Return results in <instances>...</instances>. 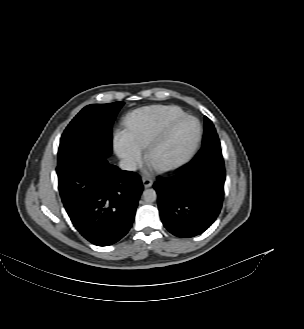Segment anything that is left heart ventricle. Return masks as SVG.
Instances as JSON below:
<instances>
[{
  "instance_id": "left-heart-ventricle-1",
  "label": "left heart ventricle",
  "mask_w": 304,
  "mask_h": 329,
  "mask_svg": "<svg viewBox=\"0 0 304 329\" xmlns=\"http://www.w3.org/2000/svg\"><path fill=\"white\" fill-rule=\"evenodd\" d=\"M197 123L192 119L182 121L172 132L170 138L153 153V161L164 164L184 156L193 145L197 136Z\"/></svg>"
}]
</instances>
